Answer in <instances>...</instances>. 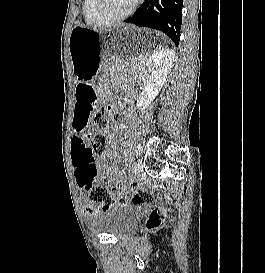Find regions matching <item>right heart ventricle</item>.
<instances>
[{"label": "right heart ventricle", "mask_w": 265, "mask_h": 273, "mask_svg": "<svg viewBox=\"0 0 265 273\" xmlns=\"http://www.w3.org/2000/svg\"><path fill=\"white\" fill-rule=\"evenodd\" d=\"M83 14L89 26L101 27L108 24L97 15L95 11V0H84Z\"/></svg>", "instance_id": "obj_1"}]
</instances>
